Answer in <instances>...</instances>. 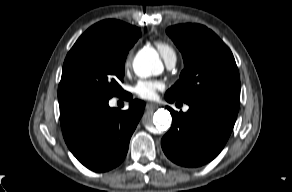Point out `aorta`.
I'll list each match as a JSON object with an SVG mask.
<instances>
[{
	"label": "aorta",
	"mask_w": 292,
	"mask_h": 192,
	"mask_svg": "<svg viewBox=\"0 0 292 192\" xmlns=\"http://www.w3.org/2000/svg\"><path fill=\"white\" fill-rule=\"evenodd\" d=\"M133 69L137 76L147 78L162 72V64L154 49H144L138 52L133 61ZM169 111L158 109L153 117L145 122L147 128L156 127L159 131H166L171 124Z\"/></svg>",
	"instance_id": "762f6f07"
}]
</instances>
